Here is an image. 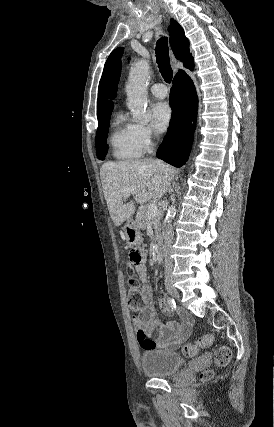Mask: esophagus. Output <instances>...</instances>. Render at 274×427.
Returning <instances> with one entry per match:
<instances>
[{"instance_id": "1", "label": "esophagus", "mask_w": 274, "mask_h": 427, "mask_svg": "<svg viewBox=\"0 0 274 427\" xmlns=\"http://www.w3.org/2000/svg\"><path fill=\"white\" fill-rule=\"evenodd\" d=\"M172 62H173V64L176 62L174 56H172ZM174 70L177 71V67H174Z\"/></svg>"}]
</instances>
